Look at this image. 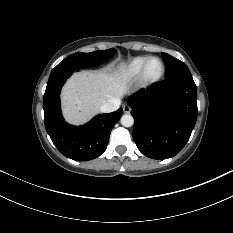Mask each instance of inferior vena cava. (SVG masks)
Returning <instances> with one entry per match:
<instances>
[{
  "mask_svg": "<svg viewBox=\"0 0 233 233\" xmlns=\"http://www.w3.org/2000/svg\"><path fill=\"white\" fill-rule=\"evenodd\" d=\"M120 103L119 99H111L100 107V111L103 113L114 112L119 108Z\"/></svg>",
  "mask_w": 233,
  "mask_h": 233,
  "instance_id": "602c4592",
  "label": "inferior vena cava"
}]
</instances>
